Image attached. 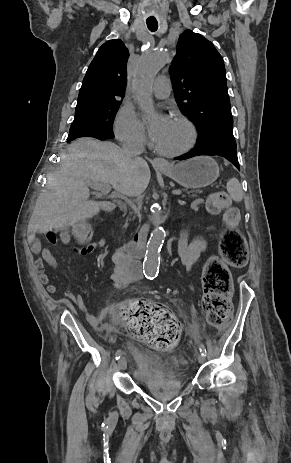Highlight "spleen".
<instances>
[{
  "mask_svg": "<svg viewBox=\"0 0 291 463\" xmlns=\"http://www.w3.org/2000/svg\"><path fill=\"white\" fill-rule=\"evenodd\" d=\"M227 191L230 194L231 198L236 201L240 202L243 199V190L241 184L239 183L238 179L232 178L227 182Z\"/></svg>",
  "mask_w": 291,
  "mask_h": 463,
  "instance_id": "1",
  "label": "spleen"
}]
</instances>
